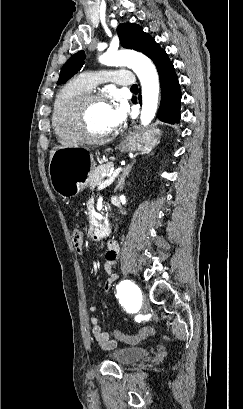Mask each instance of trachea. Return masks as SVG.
Instances as JSON below:
<instances>
[{"label":"trachea","instance_id":"obj_1","mask_svg":"<svg viewBox=\"0 0 243 409\" xmlns=\"http://www.w3.org/2000/svg\"><path fill=\"white\" fill-rule=\"evenodd\" d=\"M137 88H138L137 85H133V86L131 87V89H137Z\"/></svg>","mask_w":243,"mask_h":409}]
</instances>
